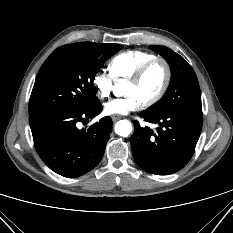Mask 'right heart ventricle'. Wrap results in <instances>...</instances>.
<instances>
[{
  "mask_svg": "<svg viewBox=\"0 0 233 233\" xmlns=\"http://www.w3.org/2000/svg\"><path fill=\"white\" fill-rule=\"evenodd\" d=\"M153 53L142 50H127L114 56L109 62V71L114 79H129L144 63L155 58Z\"/></svg>",
  "mask_w": 233,
  "mask_h": 233,
  "instance_id": "1",
  "label": "right heart ventricle"
}]
</instances>
